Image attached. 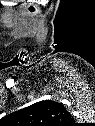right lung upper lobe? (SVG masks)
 <instances>
[{"label": "right lung upper lobe", "mask_w": 95, "mask_h": 126, "mask_svg": "<svg viewBox=\"0 0 95 126\" xmlns=\"http://www.w3.org/2000/svg\"><path fill=\"white\" fill-rule=\"evenodd\" d=\"M6 119L15 126H72V115L62 103L43 100L10 113Z\"/></svg>", "instance_id": "1"}]
</instances>
